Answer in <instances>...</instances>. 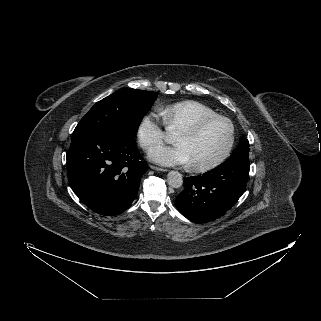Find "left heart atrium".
I'll return each mask as SVG.
<instances>
[{"label":"left heart atrium","mask_w":321,"mask_h":321,"mask_svg":"<svg viewBox=\"0 0 321 321\" xmlns=\"http://www.w3.org/2000/svg\"><path fill=\"white\" fill-rule=\"evenodd\" d=\"M148 157L151 161L165 166L191 163L189 151L182 143L173 146H155L149 150Z\"/></svg>","instance_id":"1"}]
</instances>
